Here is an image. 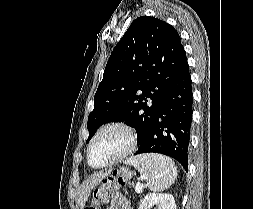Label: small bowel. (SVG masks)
I'll return each mask as SVG.
<instances>
[{"label":"small bowel","mask_w":253,"mask_h":209,"mask_svg":"<svg viewBox=\"0 0 253 209\" xmlns=\"http://www.w3.org/2000/svg\"><path fill=\"white\" fill-rule=\"evenodd\" d=\"M105 209H132L130 202L121 193H113Z\"/></svg>","instance_id":"small-bowel-1"}]
</instances>
